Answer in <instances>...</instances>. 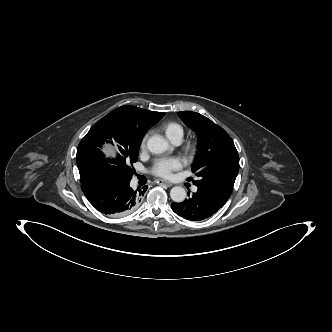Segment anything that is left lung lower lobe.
Wrapping results in <instances>:
<instances>
[{"mask_svg":"<svg viewBox=\"0 0 332 332\" xmlns=\"http://www.w3.org/2000/svg\"><path fill=\"white\" fill-rule=\"evenodd\" d=\"M225 203L216 196L198 188L197 192L193 193L189 199L181 203H172L171 208L177 215L185 219L201 221L211 217Z\"/></svg>","mask_w":332,"mask_h":332,"instance_id":"obj_1","label":"left lung lower lobe"}]
</instances>
